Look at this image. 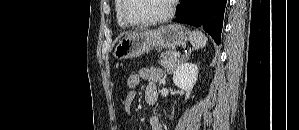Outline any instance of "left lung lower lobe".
Returning <instances> with one entry per match:
<instances>
[{
	"instance_id": "1",
	"label": "left lung lower lobe",
	"mask_w": 299,
	"mask_h": 130,
	"mask_svg": "<svg viewBox=\"0 0 299 130\" xmlns=\"http://www.w3.org/2000/svg\"><path fill=\"white\" fill-rule=\"evenodd\" d=\"M227 0H181L174 22L200 27L220 44Z\"/></svg>"
}]
</instances>
